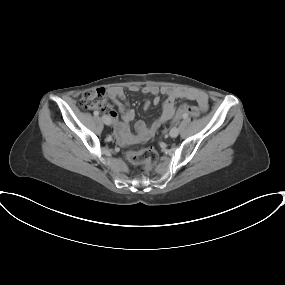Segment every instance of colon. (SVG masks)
I'll return each instance as SVG.
<instances>
[{"label":"colon","instance_id":"5ec220e1","mask_svg":"<svg viewBox=\"0 0 285 285\" xmlns=\"http://www.w3.org/2000/svg\"><path fill=\"white\" fill-rule=\"evenodd\" d=\"M108 96V92L103 88L85 91L80 98V106L85 110L105 108ZM200 113L201 110L196 106H184L178 112L177 117L187 115L198 117ZM126 156L131 162L141 165L144 172L150 171L158 159L157 151L153 147L128 151Z\"/></svg>","mask_w":285,"mask_h":285}]
</instances>
